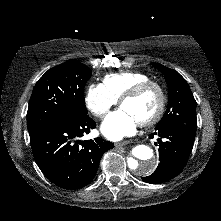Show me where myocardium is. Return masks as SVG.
<instances>
[{
  "mask_svg": "<svg viewBox=\"0 0 221 221\" xmlns=\"http://www.w3.org/2000/svg\"><path fill=\"white\" fill-rule=\"evenodd\" d=\"M149 88H155L157 90V92L159 94V104H158L157 110L155 111V113L151 117L140 122L141 126L152 125V124L156 123L163 115L164 110H165V105H166V94H165L163 87L156 81L147 80V81H144V82H141V83L135 85L133 88H131L129 91H127L120 98V104L122 106V104L126 100L138 97L139 95H141L144 91H146Z\"/></svg>",
  "mask_w": 221,
  "mask_h": 221,
  "instance_id": "f54148a6",
  "label": "myocardium"
}]
</instances>
